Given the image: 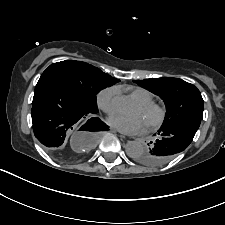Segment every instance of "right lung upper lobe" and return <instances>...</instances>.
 Instances as JSON below:
<instances>
[{"label":"right lung upper lobe","instance_id":"cb5924a9","mask_svg":"<svg viewBox=\"0 0 225 225\" xmlns=\"http://www.w3.org/2000/svg\"><path fill=\"white\" fill-rule=\"evenodd\" d=\"M111 78H112V77H111ZM112 79H113L114 81H116V83H117V82H119V80H118V79H116V78H112Z\"/></svg>","mask_w":225,"mask_h":225}]
</instances>
